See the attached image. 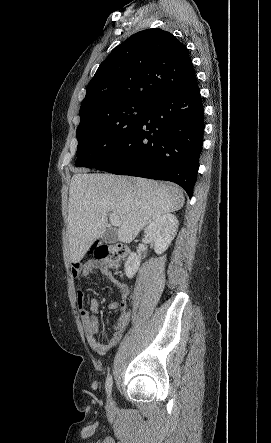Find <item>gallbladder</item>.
Returning <instances> with one entry per match:
<instances>
[{"label": "gallbladder", "instance_id": "gallbladder-1", "mask_svg": "<svg viewBox=\"0 0 271 443\" xmlns=\"http://www.w3.org/2000/svg\"><path fill=\"white\" fill-rule=\"evenodd\" d=\"M102 241H105V243H116L117 241V231H112V229H108V231H105Z\"/></svg>", "mask_w": 271, "mask_h": 443}]
</instances>
